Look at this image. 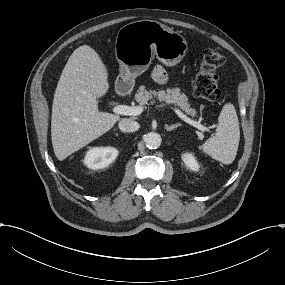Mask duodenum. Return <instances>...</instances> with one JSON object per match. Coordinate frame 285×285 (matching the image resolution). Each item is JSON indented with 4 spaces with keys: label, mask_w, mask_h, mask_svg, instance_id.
<instances>
[{
    "label": "duodenum",
    "mask_w": 285,
    "mask_h": 285,
    "mask_svg": "<svg viewBox=\"0 0 285 285\" xmlns=\"http://www.w3.org/2000/svg\"><path fill=\"white\" fill-rule=\"evenodd\" d=\"M116 95L119 98H129L134 91V84L126 77L115 82Z\"/></svg>",
    "instance_id": "1"
}]
</instances>
